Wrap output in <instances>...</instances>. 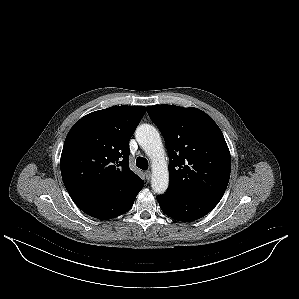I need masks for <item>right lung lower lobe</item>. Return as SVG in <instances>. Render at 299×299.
I'll list each match as a JSON object with an SVG mask.
<instances>
[{"label":"right lung lower lobe","instance_id":"obj_1","mask_svg":"<svg viewBox=\"0 0 299 299\" xmlns=\"http://www.w3.org/2000/svg\"><path fill=\"white\" fill-rule=\"evenodd\" d=\"M122 192L117 188L97 191L73 198L75 204L86 214L101 219H111L127 212L134 199L121 205Z\"/></svg>","mask_w":299,"mask_h":299}]
</instances>
